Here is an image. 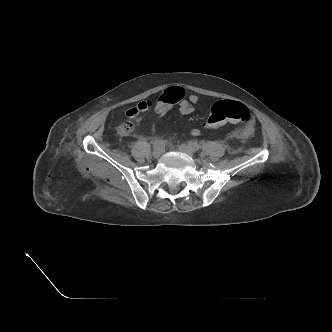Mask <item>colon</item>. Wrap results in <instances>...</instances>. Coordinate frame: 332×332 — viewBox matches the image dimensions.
Listing matches in <instances>:
<instances>
[{"mask_svg":"<svg viewBox=\"0 0 332 332\" xmlns=\"http://www.w3.org/2000/svg\"><path fill=\"white\" fill-rule=\"evenodd\" d=\"M183 97V91L179 87L168 88L160 96L159 101L166 103L178 102ZM152 107L151 101H141L134 107L130 108L126 115L129 118H135L142 112L148 111ZM250 110L242 103L230 100H221L215 102L210 110L207 120L203 126L206 129H216L227 122H252ZM120 131L124 134H130L134 131V124L131 121H125L120 126Z\"/></svg>","mask_w":332,"mask_h":332,"instance_id":"1","label":"colon"}]
</instances>
